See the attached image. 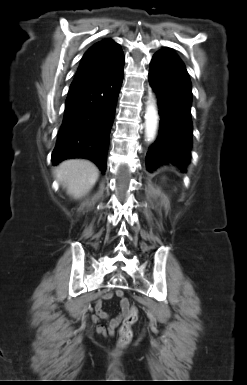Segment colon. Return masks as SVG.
Listing matches in <instances>:
<instances>
[{
  "label": "colon",
  "mask_w": 247,
  "mask_h": 385,
  "mask_svg": "<svg viewBox=\"0 0 247 385\" xmlns=\"http://www.w3.org/2000/svg\"><path fill=\"white\" fill-rule=\"evenodd\" d=\"M126 315L123 319V322L119 328V344L121 346H126L132 339V326L138 319L139 309L136 305H127L125 307Z\"/></svg>",
  "instance_id": "obj_1"
}]
</instances>
